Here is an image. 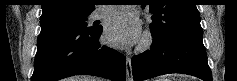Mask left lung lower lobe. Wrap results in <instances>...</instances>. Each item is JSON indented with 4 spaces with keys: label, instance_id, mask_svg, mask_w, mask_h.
<instances>
[{
    "label": "left lung lower lobe",
    "instance_id": "0a47b994",
    "mask_svg": "<svg viewBox=\"0 0 237 81\" xmlns=\"http://www.w3.org/2000/svg\"><path fill=\"white\" fill-rule=\"evenodd\" d=\"M202 38V30H183L154 40L151 50L132 58L134 80L182 73L212 81Z\"/></svg>",
    "mask_w": 237,
    "mask_h": 81
}]
</instances>
